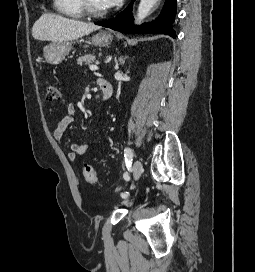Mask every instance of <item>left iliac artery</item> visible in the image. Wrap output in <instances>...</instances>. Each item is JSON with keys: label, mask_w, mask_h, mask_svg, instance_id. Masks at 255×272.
<instances>
[{"label": "left iliac artery", "mask_w": 255, "mask_h": 272, "mask_svg": "<svg viewBox=\"0 0 255 272\" xmlns=\"http://www.w3.org/2000/svg\"><path fill=\"white\" fill-rule=\"evenodd\" d=\"M124 157H125L126 166L130 167L132 164V160H133V151L131 148H128V147L125 148ZM123 176H124L126 182L130 181V175L128 172H124ZM128 195H129L128 192L121 194L122 198H127Z\"/></svg>", "instance_id": "44dca946"}]
</instances>
